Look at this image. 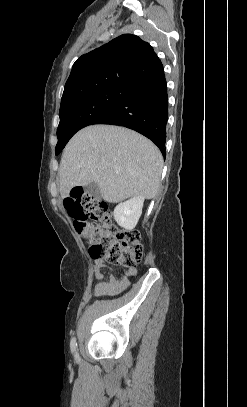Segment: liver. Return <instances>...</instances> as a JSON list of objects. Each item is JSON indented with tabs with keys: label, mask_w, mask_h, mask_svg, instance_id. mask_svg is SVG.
<instances>
[{
	"label": "liver",
	"mask_w": 247,
	"mask_h": 407,
	"mask_svg": "<svg viewBox=\"0 0 247 407\" xmlns=\"http://www.w3.org/2000/svg\"><path fill=\"white\" fill-rule=\"evenodd\" d=\"M163 167L159 149L146 137L112 125H92L77 132L64 149L59 175L60 194L96 182L104 200L130 197L153 199Z\"/></svg>",
	"instance_id": "1"
}]
</instances>
